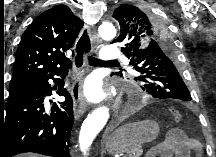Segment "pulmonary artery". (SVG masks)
<instances>
[{
  "instance_id": "pulmonary-artery-1",
  "label": "pulmonary artery",
  "mask_w": 216,
  "mask_h": 157,
  "mask_svg": "<svg viewBox=\"0 0 216 157\" xmlns=\"http://www.w3.org/2000/svg\"><path fill=\"white\" fill-rule=\"evenodd\" d=\"M99 56L102 61H112L118 59L121 52L115 45H107L103 47Z\"/></svg>"
}]
</instances>
